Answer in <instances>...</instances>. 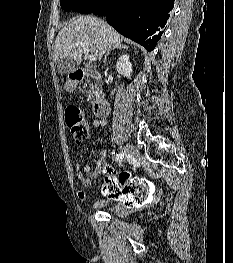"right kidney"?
Listing matches in <instances>:
<instances>
[{"label":"right kidney","instance_id":"1","mask_svg":"<svg viewBox=\"0 0 233 263\" xmlns=\"http://www.w3.org/2000/svg\"><path fill=\"white\" fill-rule=\"evenodd\" d=\"M116 70L118 71V73L126 76L128 79L131 78V74L133 72L132 70V64L129 61V55L125 54L122 55L117 63H116Z\"/></svg>","mask_w":233,"mask_h":263}]
</instances>
